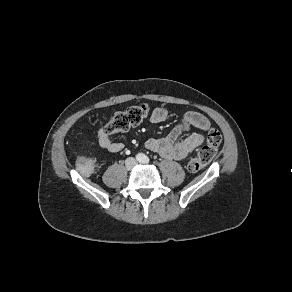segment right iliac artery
I'll return each mask as SVG.
<instances>
[{
  "mask_svg": "<svg viewBox=\"0 0 292 292\" xmlns=\"http://www.w3.org/2000/svg\"><path fill=\"white\" fill-rule=\"evenodd\" d=\"M142 158H143V157H142L141 155H137V160H138V161H142Z\"/></svg>",
  "mask_w": 292,
  "mask_h": 292,
  "instance_id": "obj_1",
  "label": "right iliac artery"
}]
</instances>
